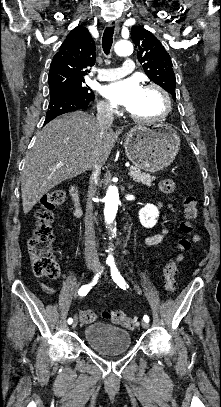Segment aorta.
<instances>
[{
	"label": "aorta",
	"instance_id": "obj_1",
	"mask_svg": "<svg viewBox=\"0 0 221 407\" xmlns=\"http://www.w3.org/2000/svg\"><path fill=\"white\" fill-rule=\"evenodd\" d=\"M115 53L119 56H127L133 52V45L130 41L121 40L115 44ZM119 205V192L116 186L110 185L105 196L104 217L108 226H111L115 220ZM115 234L116 229H111ZM108 260H113V256L109 255Z\"/></svg>",
	"mask_w": 221,
	"mask_h": 407
}]
</instances>
